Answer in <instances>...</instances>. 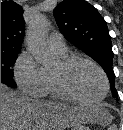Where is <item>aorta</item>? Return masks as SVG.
<instances>
[{
	"label": "aorta",
	"instance_id": "aorta-1",
	"mask_svg": "<svg viewBox=\"0 0 123 130\" xmlns=\"http://www.w3.org/2000/svg\"><path fill=\"white\" fill-rule=\"evenodd\" d=\"M48 26L46 15H36L27 29L25 38L28 50L45 67L53 63V58L46 44Z\"/></svg>",
	"mask_w": 123,
	"mask_h": 130
}]
</instances>
